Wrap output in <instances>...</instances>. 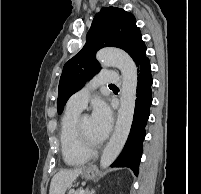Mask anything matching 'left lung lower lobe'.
<instances>
[{"label": "left lung lower lobe", "mask_w": 201, "mask_h": 194, "mask_svg": "<svg viewBox=\"0 0 201 194\" xmlns=\"http://www.w3.org/2000/svg\"><path fill=\"white\" fill-rule=\"evenodd\" d=\"M137 66L138 85L132 127L123 148V151L112 167H129L138 175L139 163L142 156V143L145 137V126L149 118V109L152 104L151 66L146 57V46L141 40L132 56Z\"/></svg>", "instance_id": "obj_1"}]
</instances>
